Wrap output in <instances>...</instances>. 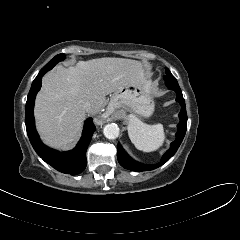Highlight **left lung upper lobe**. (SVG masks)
<instances>
[{
    "mask_svg": "<svg viewBox=\"0 0 240 240\" xmlns=\"http://www.w3.org/2000/svg\"><path fill=\"white\" fill-rule=\"evenodd\" d=\"M165 81H177L176 78L171 74L169 69H167V73L164 76Z\"/></svg>",
    "mask_w": 240,
    "mask_h": 240,
    "instance_id": "obj_1",
    "label": "left lung upper lobe"
}]
</instances>
